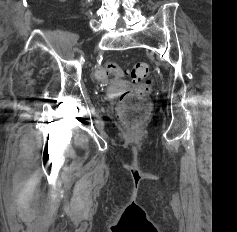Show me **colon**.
Masks as SVG:
<instances>
[{
    "label": "colon",
    "instance_id": "5ec220e1",
    "mask_svg": "<svg viewBox=\"0 0 237 232\" xmlns=\"http://www.w3.org/2000/svg\"><path fill=\"white\" fill-rule=\"evenodd\" d=\"M125 71L114 62H106L97 70L98 78L106 80L111 77H122ZM149 64L136 63L130 71L131 78L138 83L127 90L120 98L118 116L124 128L130 133H137L146 123L150 114L148 94L152 81L148 79Z\"/></svg>",
    "mask_w": 237,
    "mask_h": 232
}]
</instances>
